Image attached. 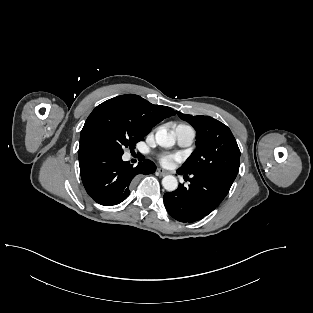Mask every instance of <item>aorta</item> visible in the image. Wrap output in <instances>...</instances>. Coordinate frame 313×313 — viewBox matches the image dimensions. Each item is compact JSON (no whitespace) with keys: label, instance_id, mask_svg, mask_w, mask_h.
Wrapping results in <instances>:
<instances>
[{"label":"aorta","instance_id":"obj_1","mask_svg":"<svg viewBox=\"0 0 313 313\" xmlns=\"http://www.w3.org/2000/svg\"><path fill=\"white\" fill-rule=\"evenodd\" d=\"M155 139L157 144L164 148L172 147L175 144L174 135L167 132V130L163 128L156 132ZM162 185L167 191H174L178 187L177 178L172 175H167L162 179Z\"/></svg>","mask_w":313,"mask_h":313}]
</instances>
